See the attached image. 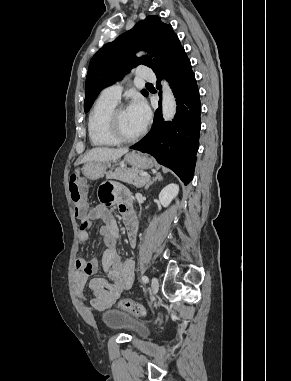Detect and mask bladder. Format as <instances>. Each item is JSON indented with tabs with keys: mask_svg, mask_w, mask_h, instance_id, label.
<instances>
[{
	"mask_svg": "<svg viewBox=\"0 0 291 381\" xmlns=\"http://www.w3.org/2000/svg\"><path fill=\"white\" fill-rule=\"evenodd\" d=\"M103 323L112 330H127L133 337H144L148 333L147 327L127 313L116 309H108L101 314Z\"/></svg>",
	"mask_w": 291,
	"mask_h": 381,
	"instance_id": "31cf9c89",
	"label": "bladder"
}]
</instances>
